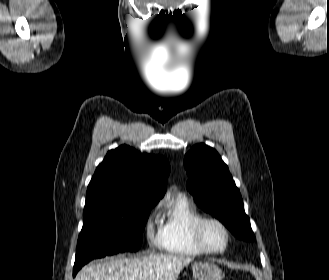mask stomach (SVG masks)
<instances>
[{"instance_id":"0dacf381","label":"stomach","mask_w":329,"mask_h":280,"mask_svg":"<svg viewBox=\"0 0 329 280\" xmlns=\"http://www.w3.org/2000/svg\"><path fill=\"white\" fill-rule=\"evenodd\" d=\"M196 280H222L223 274L218 265L210 262H196L192 266Z\"/></svg>"}]
</instances>
